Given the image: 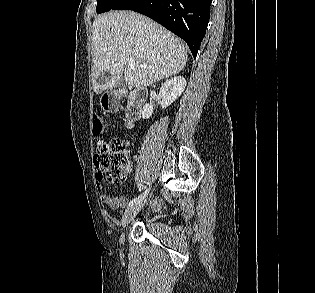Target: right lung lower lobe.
<instances>
[{
	"mask_svg": "<svg viewBox=\"0 0 315 293\" xmlns=\"http://www.w3.org/2000/svg\"><path fill=\"white\" fill-rule=\"evenodd\" d=\"M212 0H119L110 10H134L157 21L188 44L195 58L205 36Z\"/></svg>",
	"mask_w": 315,
	"mask_h": 293,
	"instance_id": "right-lung-lower-lobe-1",
	"label": "right lung lower lobe"
}]
</instances>
